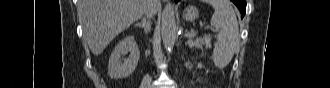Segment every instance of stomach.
<instances>
[{"mask_svg": "<svg viewBox=\"0 0 330 88\" xmlns=\"http://www.w3.org/2000/svg\"><path fill=\"white\" fill-rule=\"evenodd\" d=\"M198 10L194 6H189L183 11V18L187 21H194L198 18Z\"/></svg>", "mask_w": 330, "mask_h": 88, "instance_id": "1", "label": "stomach"}]
</instances>
